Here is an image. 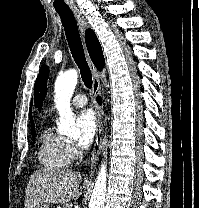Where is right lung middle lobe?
Returning a JSON list of instances; mask_svg holds the SVG:
<instances>
[{
	"instance_id": "right-lung-middle-lobe-1",
	"label": "right lung middle lobe",
	"mask_w": 199,
	"mask_h": 208,
	"mask_svg": "<svg viewBox=\"0 0 199 208\" xmlns=\"http://www.w3.org/2000/svg\"><path fill=\"white\" fill-rule=\"evenodd\" d=\"M31 132H32V136L34 137V135H35V131H34V130H32Z\"/></svg>"
}]
</instances>
